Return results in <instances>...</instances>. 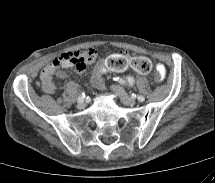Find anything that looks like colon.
I'll return each instance as SVG.
<instances>
[{
  "label": "colon",
  "instance_id": "5ec220e1",
  "mask_svg": "<svg viewBox=\"0 0 215 183\" xmlns=\"http://www.w3.org/2000/svg\"><path fill=\"white\" fill-rule=\"evenodd\" d=\"M89 62V56L85 52L66 53L58 58L57 66L60 67H74L80 69L85 67ZM152 78L157 83H165L170 78V71L164 64H158L152 71Z\"/></svg>",
  "mask_w": 215,
  "mask_h": 183
}]
</instances>
